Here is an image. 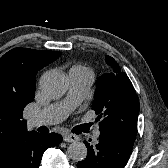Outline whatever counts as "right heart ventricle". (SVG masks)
I'll list each match as a JSON object with an SVG mask.
<instances>
[{"label":"right heart ventricle","mask_w":168,"mask_h":168,"mask_svg":"<svg viewBox=\"0 0 168 168\" xmlns=\"http://www.w3.org/2000/svg\"><path fill=\"white\" fill-rule=\"evenodd\" d=\"M71 70H86V71H90L88 68L84 67V66H74L71 68Z\"/></svg>","instance_id":"right-heart-ventricle-1"}]
</instances>
